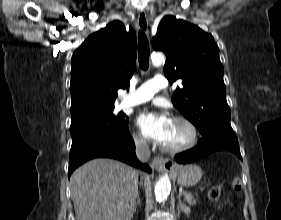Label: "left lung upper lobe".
Wrapping results in <instances>:
<instances>
[{
  "instance_id": "1",
  "label": "left lung upper lobe",
  "mask_w": 281,
  "mask_h": 220,
  "mask_svg": "<svg viewBox=\"0 0 281 220\" xmlns=\"http://www.w3.org/2000/svg\"><path fill=\"white\" fill-rule=\"evenodd\" d=\"M154 50L166 54L164 74L173 84L181 79L172 97L176 108L202 135L234 133L226 101L223 65L211 34L198 26L168 15L152 39Z\"/></svg>"
}]
</instances>
